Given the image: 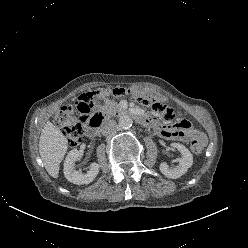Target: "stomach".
Returning <instances> with one entry per match:
<instances>
[{"mask_svg": "<svg viewBox=\"0 0 248 248\" xmlns=\"http://www.w3.org/2000/svg\"><path fill=\"white\" fill-rule=\"evenodd\" d=\"M85 105L91 109H97L101 114L109 115L115 111L116 103L112 97L104 96L100 91L91 90L85 94Z\"/></svg>", "mask_w": 248, "mask_h": 248, "instance_id": "stomach-1", "label": "stomach"}]
</instances>
